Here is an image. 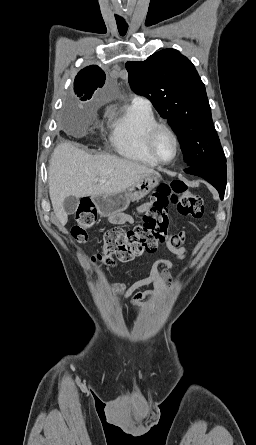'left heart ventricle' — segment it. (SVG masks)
Instances as JSON below:
<instances>
[{"label":"left heart ventricle","instance_id":"obj_1","mask_svg":"<svg viewBox=\"0 0 256 445\" xmlns=\"http://www.w3.org/2000/svg\"><path fill=\"white\" fill-rule=\"evenodd\" d=\"M156 150L158 155L165 161H169L175 154V143L172 136L162 131L158 134L156 139Z\"/></svg>","mask_w":256,"mask_h":445}]
</instances>
